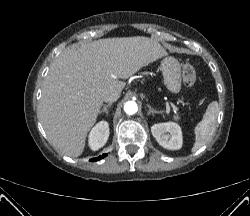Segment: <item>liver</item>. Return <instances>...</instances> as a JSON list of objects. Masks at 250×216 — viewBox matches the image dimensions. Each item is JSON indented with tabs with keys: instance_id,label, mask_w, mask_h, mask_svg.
Instances as JSON below:
<instances>
[{
	"instance_id": "obj_1",
	"label": "liver",
	"mask_w": 250,
	"mask_h": 216,
	"mask_svg": "<svg viewBox=\"0 0 250 216\" xmlns=\"http://www.w3.org/2000/svg\"><path fill=\"white\" fill-rule=\"evenodd\" d=\"M166 54L156 40L143 36L106 38L66 48L50 67L38 107L49 141L68 156L81 155L103 105V93L121 91L125 82L120 79Z\"/></svg>"
}]
</instances>
